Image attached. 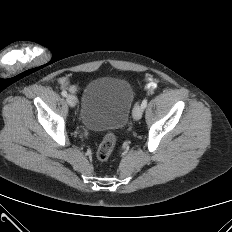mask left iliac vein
<instances>
[{"label": "left iliac vein", "instance_id": "1", "mask_svg": "<svg viewBox=\"0 0 232 232\" xmlns=\"http://www.w3.org/2000/svg\"><path fill=\"white\" fill-rule=\"evenodd\" d=\"M143 114V107L141 105H136L133 109V118L135 120L141 119Z\"/></svg>", "mask_w": 232, "mask_h": 232}]
</instances>
